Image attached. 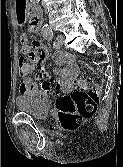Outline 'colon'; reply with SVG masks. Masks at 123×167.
I'll use <instances>...</instances> for the list:
<instances>
[{"mask_svg":"<svg viewBox=\"0 0 123 167\" xmlns=\"http://www.w3.org/2000/svg\"><path fill=\"white\" fill-rule=\"evenodd\" d=\"M36 44V43H34ZM67 55L60 54L57 59L59 62L65 61ZM30 64L27 57H20L19 68L23 72ZM36 77L38 86L43 92H58L57 109L61 125L64 129L72 130L77 128L84 119L94 115L101 91L102 81L90 76L78 77L74 80L75 89L71 93H61L58 87L53 86L47 79L46 75L39 68Z\"/></svg>","mask_w":123,"mask_h":167,"instance_id":"colon-1","label":"colon"}]
</instances>
